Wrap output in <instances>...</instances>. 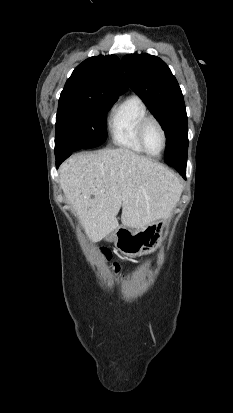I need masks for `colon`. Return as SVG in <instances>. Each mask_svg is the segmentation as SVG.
Segmentation results:
<instances>
[{
  "label": "colon",
  "mask_w": 233,
  "mask_h": 413,
  "mask_svg": "<svg viewBox=\"0 0 233 413\" xmlns=\"http://www.w3.org/2000/svg\"><path fill=\"white\" fill-rule=\"evenodd\" d=\"M102 254H103V256H104L105 258H109V256H110L109 251L106 250V249H103V250H102ZM113 269H114V272H118V271H119L118 265H117V264H114Z\"/></svg>",
  "instance_id": "5ec220e1"
}]
</instances>
